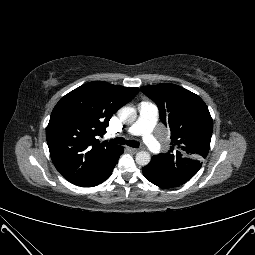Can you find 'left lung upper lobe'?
I'll list each match as a JSON object with an SVG mask.
<instances>
[{"instance_id": "left-lung-upper-lobe-1", "label": "left lung upper lobe", "mask_w": 255, "mask_h": 255, "mask_svg": "<svg viewBox=\"0 0 255 255\" xmlns=\"http://www.w3.org/2000/svg\"><path fill=\"white\" fill-rule=\"evenodd\" d=\"M155 101L171 134V147L153 156L149 165L175 179L188 181L201 168L207 156L213 122L204 101L180 86L162 83L141 87Z\"/></svg>"}]
</instances>
